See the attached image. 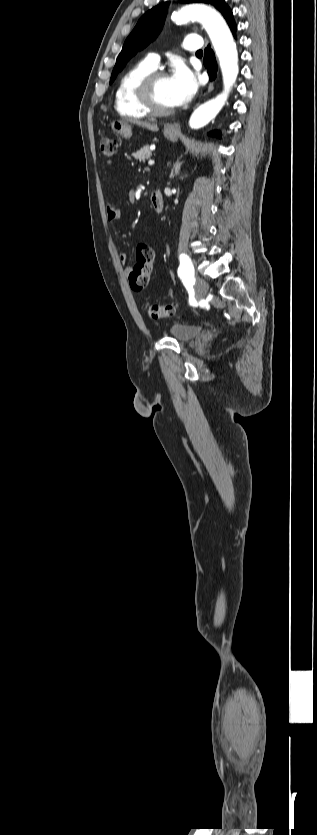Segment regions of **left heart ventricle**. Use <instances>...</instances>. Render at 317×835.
<instances>
[{"mask_svg": "<svg viewBox=\"0 0 317 835\" xmlns=\"http://www.w3.org/2000/svg\"><path fill=\"white\" fill-rule=\"evenodd\" d=\"M155 97L161 107L171 108L174 106L170 97L168 78H162L156 83Z\"/></svg>", "mask_w": 317, "mask_h": 835, "instance_id": "1", "label": "left heart ventricle"}]
</instances>
